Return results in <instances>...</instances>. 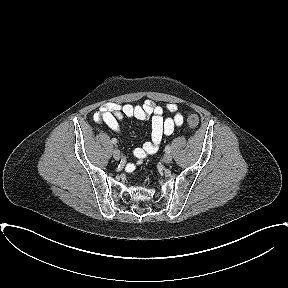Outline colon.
Segmentation results:
<instances>
[{
  "label": "colon",
  "mask_w": 288,
  "mask_h": 288,
  "mask_svg": "<svg viewBox=\"0 0 288 288\" xmlns=\"http://www.w3.org/2000/svg\"><path fill=\"white\" fill-rule=\"evenodd\" d=\"M186 122L190 128H196L199 124V118L196 114L189 113L186 117Z\"/></svg>",
  "instance_id": "colon-1"
}]
</instances>
